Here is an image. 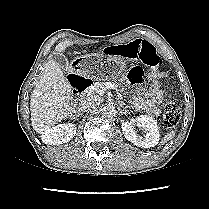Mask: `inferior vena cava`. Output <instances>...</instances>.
Returning <instances> with one entry per match:
<instances>
[{
  "label": "inferior vena cava",
  "instance_id": "obj_1",
  "mask_svg": "<svg viewBox=\"0 0 209 209\" xmlns=\"http://www.w3.org/2000/svg\"><path fill=\"white\" fill-rule=\"evenodd\" d=\"M98 106V101L94 98L88 97L81 101L80 109L84 112H91Z\"/></svg>",
  "mask_w": 209,
  "mask_h": 209
}]
</instances>
